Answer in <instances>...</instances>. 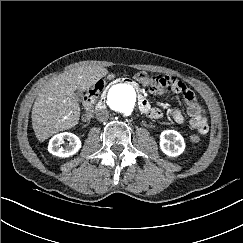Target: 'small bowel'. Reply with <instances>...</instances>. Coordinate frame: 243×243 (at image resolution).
Masks as SVG:
<instances>
[{
	"mask_svg": "<svg viewBox=\"0 0 243 243\" xmlns=\"http://www.w3.org/2000/svg\"><path fill=\"white\" fill-rule=\"evenodd\" d=\"M164 78L166 84L151 88V91L158 95L165 92L180 94L187 105V114L190 116L188 122L189 126L202 135L207 134L209 125L206 118V112L203 105L196 98L194 92L184 82L174 76H164ZM148 116L151 118H160L162 112L157 108H152ZM172 117L178 124H185L187 122L182 112L177 108L172 110Z\"/></svg>",
	"mask_w": 243,
	"mask_h": 243,
	"instance_id": "1",
	"label": "small bowel"
}]
</instances>
